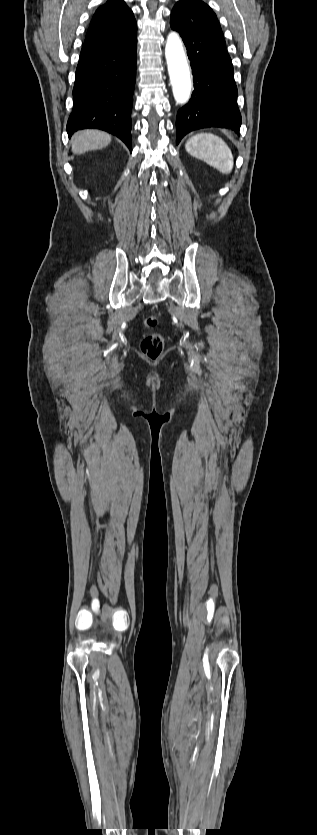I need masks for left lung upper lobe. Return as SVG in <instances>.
Here are the masks:
<instances>
[{"mask_svg": "<svg viewBox=\"0 0 317 835\" xmlns=\"http://www.w3.org/2000/svg\"><path fill=\"white\" fill-rule=\"evenodd\" d=\"M194 1H197V2H198V3H200V4H204V5H206L204 2H202V1H200V0H194ZM177 6H178V3L174 6L173 10H175V9L177 8Z\"/></svg>", "mask_w": 317, "mask_h": 835, "instance_id": "left-lung-upper-lobe-1", "label": "left lung upper lobe"}]
</instances>
